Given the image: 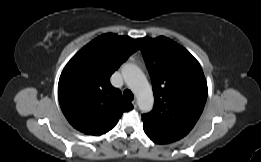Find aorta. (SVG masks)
<instances>
[{
  "label": "aorta",
  "mask_w": 261,
  "mask_h": 162,
  "mask_svg": "<svg viewBox=\"0 0 261 162\" xmlns=\"http://www.w3.org/2000/svg\"><path fill=\"white\" fill-rule=\"evenodd\" d=\"M122 74L125 82L136 95L139 109L142 112H149L153 108L154 97L143 71L135 64L128 63L123 66Z\"/></svg>",
  "instance_id": "1"
}]
</instances>
